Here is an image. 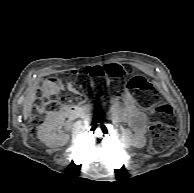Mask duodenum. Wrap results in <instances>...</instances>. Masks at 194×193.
Wrapping results in <instances>:
<instances>
[{"mask_svg":"<svg viewBox=\"0 0 194 193\" xmlns=\"http://www.w3.org/2000/svg\"><path fill=\"white\" fill-rule=\"evenodd\" d=\"M63 113L66 117L73 118L80 114V109L76 106H68L64 109Z\"/></svg>","mask_w":194,"mask_h":193,"instance_id":"obj_1","label":"duodenum"}]
</instances>
